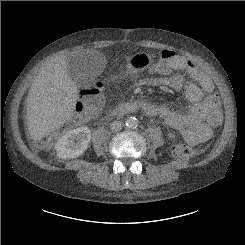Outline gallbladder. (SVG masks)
<instances>
[{"mask_svg":"<svg viewBox=\"0 0 245 245\" xmlns=\"http://www.w3.org/2000/svg\"><path fill=\"white\" fill-rule=\"evenodd\" d=\"M85 55H72L68 57L69 74L77 86L92 81V74L83 67Z\"/></svg>","mask_w":245,"mask_h":245,"instance_id":"1","label":"gallbladder"}]
</instances>
